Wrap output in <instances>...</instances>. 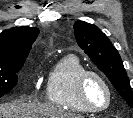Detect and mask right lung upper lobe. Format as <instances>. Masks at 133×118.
<instances>
[{
    "mask_svg": "<svg viewBox=\"0 0 133 118\" xmlns=\"http://www.w3.org/2000/svg\"><path fill=\"white\" fill-rule=\"evenodd\" d=\"M39 29L21 26L0 34V64H16L26 60Z\"/></svg>",
    "mask_w": 133,
    "mask_h": 118,
    "instance_id": "obj_1",
    "label": "right lung upper lobe"
}]
</instances>
